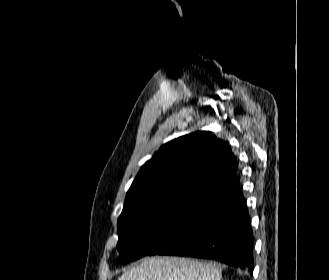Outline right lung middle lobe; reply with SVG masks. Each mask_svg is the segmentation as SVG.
<instances>
[{
	"label": "right lung middle lobe",
	"mask_w": 329,
	"mask_h": 280,
	"mask_svg": "<svg viewBox=\"0 0 329 280\" xmlns=\"http://www.w3.org/2000/svg\"><path fill=\"white\" fill-rule=\"evenodd\" d=\"M204 201L191 195L158 198L138 207L125 205L118 219L117 250L121 263L149 255Z\"/></svg>",
	"instance_id": "1"
}]
</instances>
